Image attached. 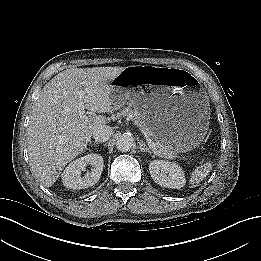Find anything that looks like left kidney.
<instances>
[{
    "label": "left kidney",
    "instance_id": "left-kidney-1",
    "mask_svg": "<svg viewBox=\"0 0 261 261\" xmlns=\"http://www.w3.org/2000/svg\"><path fill=\"white\" fill-rule=\"evenodd\" d=\"M149 171L154 182L166 188L180 189L186 183L184 171L175 162L154 160Z\"/></svg>",
    "mask_w": 261,
    "mask_h": 261
}]
</instances>
